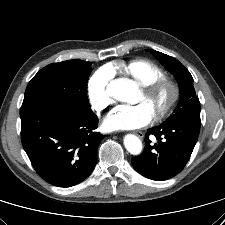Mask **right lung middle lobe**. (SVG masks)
<instances>
[{
	"mask_svg": "<svg viewBox=\"0 0 225 225\" xmlns=\"http://www.w3.org/2000/svg\"><path fill=\"white\" fill-rule=\"evenodd\" d=\"M90 66V62L73 59L44 67L29 82L23 104L58 103L79 113H93L86 95Z\"/></svg>",
	"mask_w": 225,
	"mask_h": 225,
	"instance_id": "dd1d6c3e",
	"label": "right lung middle lobe"
}]
</instances>
